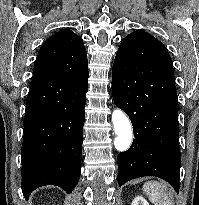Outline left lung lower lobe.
<instances>
[{
    "mask_svg": "<svg viewBox=\"0 0 199 205\" xmlns=\"http://www.w3.org/2000/svg\"><path fill=\"white\" fill-rule=\"evenodd\" d=\"M112 95L133 125L131 147L119 153L118 184L157 176L179 193L181 155L174 69L166 47L137 30L120 44L112 69Z\"/></svg>",
    "mask_w": 199,
    "mask_h": 205,
    "instance_id": "0a47b994",
    "label": "left lung lower lobe"
}]
</instances>
